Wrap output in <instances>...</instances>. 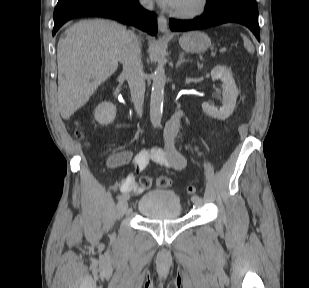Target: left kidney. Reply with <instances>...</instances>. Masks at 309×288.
Segmentation results:
<instances>
[{
    "label": "left kidney",
    "mask_w": 309,
    "mask_h": 288,
    "mask_svg": "<svg viewBox=\"0 0 309 288\" xmlns=\"http://www.w3.org/2000/svg\"><path fill=\"white\" fill-rule=\"evenodd\" d=\"M211 77L213 80L221 79L223 82V106L217 109L209 103L204 102L202 104V109L205 113L216 119L225 120L235 109L238 89L231 70L225 66L218 65L214 67L211 71Z\"/></svg>",
    "instance_id": "1"
}]
</instances>
